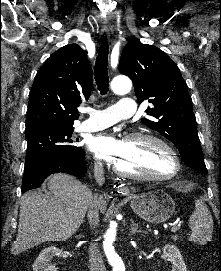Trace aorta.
Segmentation results:
<instances>
[{
	"label": "aorta",
	"mask_w": 221,
	"mask_h": 271,
	"mask_svg": "<svg viewBox=\"0 0 221 271\" xmlns=\"http://www.w3.org/2000/svg\"><path fill=\"white\" fill-rule=\"evenodd\" d=\"M132 88V82L128 77L118 76L111 82V89L116 94H127ZM116 225H110L104 235L103 248L109 264L113 271H125L121 257L115 251L113 243L116 239Z\"/></svg>",
	"instance_id": "obj_1"
}]
</instances>
